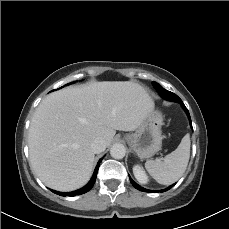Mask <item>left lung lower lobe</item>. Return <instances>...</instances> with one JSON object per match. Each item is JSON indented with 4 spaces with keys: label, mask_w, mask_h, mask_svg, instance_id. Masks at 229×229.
Instances as JSON below:
<instances>
[{
    "label": "left lung lower lobe",
    "mask_w": 229,
    "mask_h": 229,
    "mask_svg": "<svg viewBox=\"0 0 229 229\" xmlns=\"http://www.w3.org/2000/svg\"><path fill=\"white\" fill-rule=\"evenodd\" d=\"M177 102L181 103V105H182L183 109L185 110V112L187 113L188 118H189L190 123H191V118H190L189 112H188L187 108L185 107V105L183 104V102L181 101V99H179ZM191 126H192V124H191ZM129 178H130V182L132 183V185H133L136 189H138V190H140V191L154 192V193L158 192V191H150V190H147V189H145V188H142V187H140L138 184H136V183L131 179L130 176H129ZM174 185H175V184L169 186L168 188H166V189H164V190H160V192H165V191L171 189Z\"/></svg>",
    "instance_id": "left-lung-lower-lobe-1"
}]
</instances>
